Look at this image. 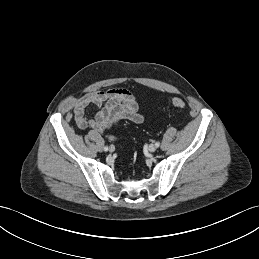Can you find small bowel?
<instances>
[{"label":"small bowel","instance_id":"1","mask_svg":"<svg viewBox=\"0 0 259 259\" xmlns=\"http://www.w3.org/2000/svg\"><path fill=\"white\" fill-rule=\"evenodd\" d=\"M89 105L98 107L93 118L86 116ZM74 116L76 124L81 129L91 128L105 135L110 140H119L120 135L111 131L121 121L140 124L144 115L138 111L135 96L124 88L100 90L87 93L74 102Z\"/></svg>","mask_w":259,"mask_h":259}]
</instances>
